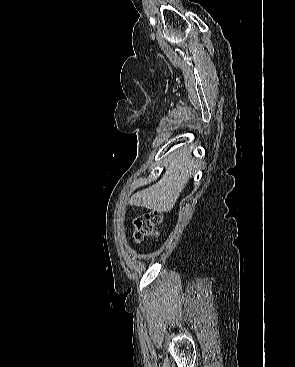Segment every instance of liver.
<instances>
[{
	"label": "liver",
	"instance_id": "1",
	"mask_svg": "<svg viewBox=\"0 0 295 367\" xmlns=\"http://www.w3.org/2000/svg\"><path fill=\"white\" fill-rule=\"evenodd\" d=\"M198 166L199 162L191 158L190 151H180L171 157L162 178L151 187L135 193L130 203L160 213L171 211Z\"/></svg>",
	"mask_w": 295,
	"mask_h": 367
}]
</instances>
